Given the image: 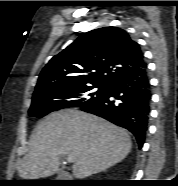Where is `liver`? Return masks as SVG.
<instances>
[{
	"label": "liver",
	"mask_w": 178,
	"mask_h": 186,
	"mask_svg": "<svg viewBox=\"0 0 178 186\" xmlns=\"http://www.w3.org/2000/svg\"><path fill=\"white\" fill-rule=\"evenodd\" d=\"M131 147L126 130L95 115L64 109L37 125L17 170L25 180L49 177L59 170L60 158L67 156L74 163V177L85 178L121 162Z\"/></svg>",
	"instance_id": "1"
}]
</instances>
